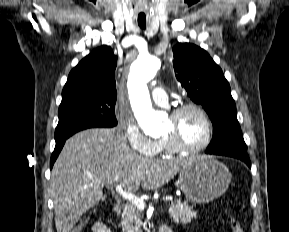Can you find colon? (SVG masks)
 I'll use <instances>...</instances> for the list:
<instances>
[{
	"mask_svg": "<svg viewBox=\"0 0 289 232\" xmlns=\"http://www.w3.org/2000/svg\"><path fill=\"white\" fill-rule=\"evenodd\" d=\"M229 223H230V226H231L233 232H244L239 221L235 217H233L232 215H229ZM82 229H83V223L80 222L73 227L71 232H81Z\"/></svg>",
	"mask_w": 289,
	"mask_h": 232,
	"instance_id": "colon-1",
	"label": "colon"
}]
</instances>
